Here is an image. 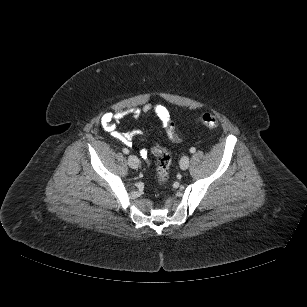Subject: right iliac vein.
<instances>
[{
    "label": "right iliac vein",
    "instance_id": "1",
    "mask_svg": "<svg viewBox=\"0 0 307 307\" xmlns=\"http://www.w3.org/2000/svg\"><path fill=\"white\" fill-rule=\"evenodd\" d=\"M139 159L134 156V155H130L128 157V165L133 168V169H137L139 167Z\"/></svg>",
    "mask_w": 307,
    "mask_h": 307
}]
</instances>
